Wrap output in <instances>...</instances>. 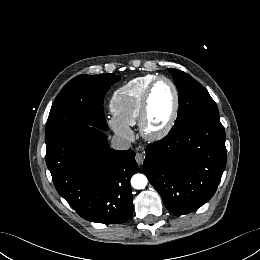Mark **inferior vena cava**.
I'll use <instances>...</instances> for the list:
<instances>
[{"label": "inferior vena cava", "instance_id": "1", "mask_svg": "<svg viewBox=\"0 0 260 260\" xmlns=\"http://www.w3.org/2000/svg\"><path fill=\"white\" fill-rule=\"evenodd\" d=\"M130 146V141L123 137L113 136L111 139V147L115 150H127Z\"/></svg>", "mask_w": 260, "mask_h": 260}]
</instances>
